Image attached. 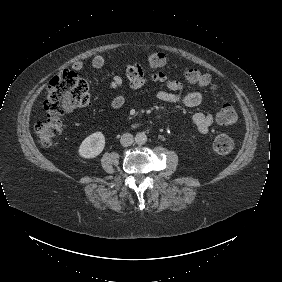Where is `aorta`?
<instances>
[{
  "label": "aorta",
  "mask_w": 282,
  "mask_h": 282,
  "mask_svg": "<svg viewBox=\"0 0 282 282\" xmlns=\"http://www.w3.org/2000/svg\"><path fill=\"white\" fill-rule=\"evenodd\" d=\"M135 143L138 145H145L147 142V135L144 132H139L134 137Z\"/></svg>",
  "instance_id": "aorta-1"
}]
</instances>
